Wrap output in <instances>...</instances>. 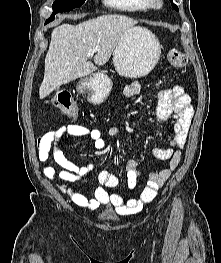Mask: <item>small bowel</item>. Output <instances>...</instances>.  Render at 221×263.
Returning <instances> with one entry per match:
<instances>
[{
	"mask_svg": "<svg viewBox=\"0 0 221 263\" xmlns=\"http://www.w3.org/2000/svg\"><path fill=\"white\" fill-rule=\"evenodd\" d=\"M141 90L139 82H132L124 89L127 97L137 95ZM157 116L160 120L173 118L170 128V145L166 150L156 149L153 154L160 160H168V167L160 172H148L149 181L142 193L137 198L125 200L122 196L110 193L107 188H114L119 185L118 178L107 170H103L98 175L100 186L96 188L93 198H87L76 188L69 186L78 179L90 175L93 165H77L70 161L62 150L57 148L60 144L69 142L70 137L86 136L96 149L105 147L102 132L96 128H86L81 125L71 124L47 132L39 141V159L44 163L43 171L45 176L55 181L58 189L70 196L71 201L79 206L94 211L100 206H109L119 215H131L139 212L144 204L154 200L158 189L168 180L173 170L178 166L181 153L187 140L193 109L190 105V97L181 85L172 88H165L159 92L157 106ZM120 129L112 127L108 131L109 136H117ZM53 160L62 167L57 171L47 161ZM127 184L130 189H134L142 172L138 169L137 161L133 158L127 160Z\"/></svg>",
	"mask_w": 221,
	"mask_h": 263,
	"instance_id": "small-bowel-1",
	"label": "small bowel"
}]
</instances>
